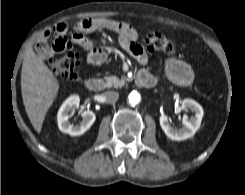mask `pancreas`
Returning <instances> with one entry per match:
<instances>
[{
    "mask_svg": "<svg viewBox=\"0 0 245 195\" xmlns=\"http://www.w3.org/2000/svg\"><path fill=\"white\" fill-rule=\"evenodd\" d=\"M127 78L126 77H122L121 79H119L116 76H108L105 77V86L110 88V87H122L125 82H126Z\"/></svg>",
    "mask_w": 245,
    "mask_h": 195,
    "instance_id": "1",
    "label": "pancreas"
}]
</instances>
